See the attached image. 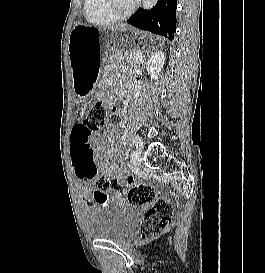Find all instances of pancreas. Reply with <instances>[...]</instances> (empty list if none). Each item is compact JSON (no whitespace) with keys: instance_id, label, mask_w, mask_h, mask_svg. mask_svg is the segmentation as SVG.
I'll use <instances>...</instances> for the list:
<instances>
[{"instance_id":"pancreas-1","label":"pancreas","mask_w":265,"mask_h":273,"mask_svg":"<svg viewBox=\"0 0 265 273\" xmlns=\"http://www.w3.org/2000/svg\"><path fill=\"white\" fill-rule=\"evenodd\" d=\"M135 53L125 54L123 58L120 55L115 54L112 58V63H116L118 60L126 61L131 67H135L138 64V60L134 57Z\"/></svg>"}]
</instances>
